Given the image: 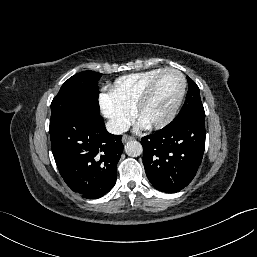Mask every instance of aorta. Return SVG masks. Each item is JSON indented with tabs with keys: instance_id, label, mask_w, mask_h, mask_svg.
<instances>
[{
	"instance_id": "762f6f07",
	"label": "aorta",
	"mask_w": 257,
	"mask_h": 257,
	"mask_svg": "<svg viewBox=\"0 0 257 257\" xmlns=\"http://www.w3.org/2000/svg\"><path fill=\"white\" fill-rule=\"evenodd\" d=\"M125 152L128 156L137 157L142 154V145L135 140L128 141L125 145Z\"/></svg>"
}]
</instances>
